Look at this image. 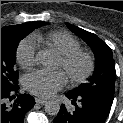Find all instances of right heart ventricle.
<instances>
[{
    "label": "right heart ventricle",
    "instance_id": "1",
    "mask_svg": "<svg viewBox=\"0 0 123 123\" xmlns=\"http://www.w3.org/2000/svg\"><path fill=\"white\" fill-rule=\"evenodd\" d=\"M30 39L36 46L53 49L59 55L80 49L81 47L79 40L66 31L34 33Z\"/></svg>",
    "mask_w": 123,
    "mask_h": 123
}]
</instances>
